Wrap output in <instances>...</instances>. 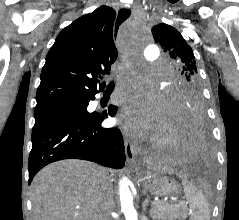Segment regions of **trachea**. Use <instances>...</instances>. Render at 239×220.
Returning a JSON list of instances; mask_svg holds the SVG:
<instances>
[{"label":"trachea","mask_w":239,"mask_h":220,"mask_svg":"<svg viewBox=\"0 0 239 220\" xmlns=\"http://www.w3.org/2000/svg\"><path fill=\"white\" fill-rule=\"evenodd\" d=\"M114 86H115V83L114 81H110V83L108 84L106 90H113L114 89Z\"/></svg>","instance_id":"obj_1"}]
</instances>
